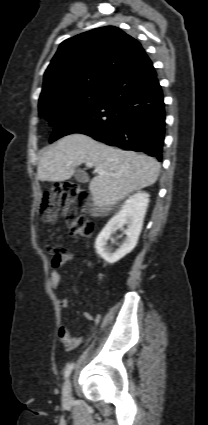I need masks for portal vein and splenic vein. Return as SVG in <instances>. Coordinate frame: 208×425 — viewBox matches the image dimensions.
I'll list each match as a JSON object with an SVG mask.
<instances>
[{"label": "portal vein and splenic vein", "mask_w": 208, "mask_h": 425, "mask_svg": "<svg viewBox=\"0 0 208 425\" xmlns=\"http://www.w3.org/2000/svg\"><path fill=\"white\" fill-rule=\"evenodd\" d=\"M86 166L87 167H93V164L91 162H86ZM96 172H98L99 174H103L104 173V171L103 170H100V169H97Z\"/></svg>", "instance_id": "1"}]
</instances>
